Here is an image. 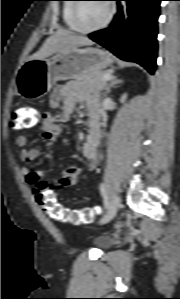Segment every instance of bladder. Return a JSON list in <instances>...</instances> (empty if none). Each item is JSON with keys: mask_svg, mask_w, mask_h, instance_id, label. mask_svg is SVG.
<instances>
[{"mask_svg": "<svg viewBox=\"0 0 180 299\" xmlns=\"http://www.w3.org/2000/svg\"><path fill=\"white\" fill-rule=\"evenodd\" d=\"M91 243L99 249H107L113 244V239L109 235H98L91 239Z\"/></svg>", "mask_w": 180, "mask_h": 299, "instance_id": "obj_1", "label": "bladder"}]
</instances>
